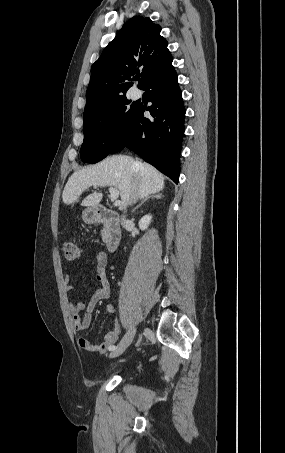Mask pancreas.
Listing matches in <instances>:
<instances>
[{
	"label": "pancreas",
	"instance_id": "cf45deb5",
	"mask_svg": "<svg viewBox=\"0 0 285 453\" xmlns=\"http://www.w3.org/2000/svg\"><path fill=\"white\" fill-rule=\"evenodd\" d=\"M105 231V229L102 231V235H103V232Z\"/></svg>",
	"mask_w": 285,
	"mask_h": 453
}]
</instances>
